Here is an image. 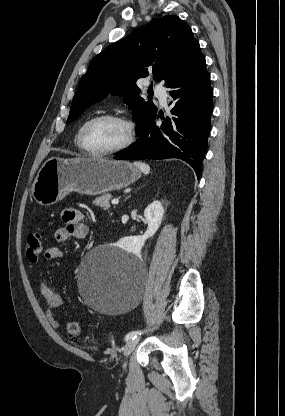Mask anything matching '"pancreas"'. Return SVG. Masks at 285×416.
I'll use <instances>...</instances> for the list:
<instances>
[{"label":"pancreas","instance_id":"1","mask_svg":"<svg viewBox=\"0 0 285 416\" xmlns=\"http://www.w3.org/2000/svg\"><path fill=\"white\" fill-rule=\"evenodd\" d=\"M112 198L113 196H111V194H104V196H98L96 200H93V204H95V206H100V208H104V210H110L111 206L109 202Z\"/></svg>","mask_w":285,"mask_h":416}]
</instances>
